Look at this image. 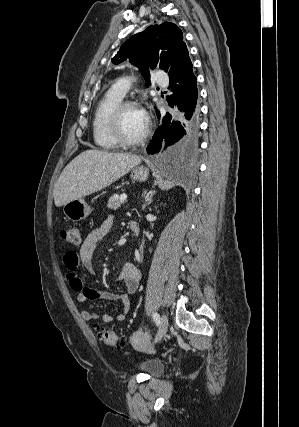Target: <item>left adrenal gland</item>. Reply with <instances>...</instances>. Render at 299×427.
<instances>
[{"label": "left adrenal gland", "mask_w": 299, "mask_h": 427, "mask_svg": "<svg viewBox=\"0 0 299 427\" xmlns=\"http://www.w3.org/2000/svg\"><path fill=\"white\" fill-rule=\"evenodd\" d=\"M154 193L155 192H150V193L147 194V196H146V202H145V204H143L142 209H144L147 205H149V204L152 203V197H153Z\"/></svg>", "instance_id": "obj_1"}]
</instances>
